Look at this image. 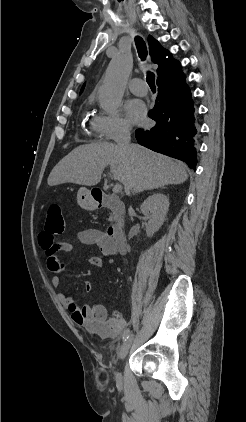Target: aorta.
<instances>
[{"instance_id":"762f6f07","label":"aorta","mask_w":246,"mask_h":422,"mask_svg":"<svg viewBox=\"0 0 246 422\" xmlns=\"http://www.w3.org/2000/svg\"><path fill=\"white\" fill-rule=\"evenodd\" d=\"M131 69L132 56L130 52L120 50L112 58L98 92L100 105L107 113H115L120 106Z\"/></svg>"}]
</instances>
